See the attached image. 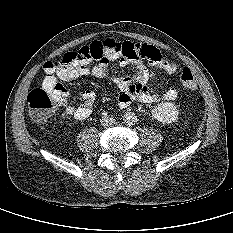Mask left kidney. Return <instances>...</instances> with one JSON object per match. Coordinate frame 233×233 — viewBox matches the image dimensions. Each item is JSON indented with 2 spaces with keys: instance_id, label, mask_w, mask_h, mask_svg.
I'll use <instances>...</instances> for the list:
<instances>
[{
  "instance_id": "left-kidney-1",
  "label": "left kidney",
  "mask_w": 233,
  "mask_h": 233,
  "mask_svg": "<svg viewBox=\"0 0 233 233\" xmlns=\"http://www.w3.org/2000/svg\"><path fill=\"white\" fill-rule=\"evenodd\" d=\"M178 114L177 106L171 102L159 103L152 110V116L158 121L166 124L175 122L178 118Z\"/></svg>"
}]
</instances>
